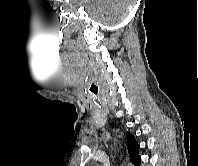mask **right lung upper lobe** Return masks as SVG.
Wrapping results in <instances>:
<instances>
[{
	"label": "right lung upper lobe",
	"instance_id": "right-lung-upper-lobe-1",
	"mask_svg": "<svg viewBox=\"0 0 198 166\" xmlns=\"http://www.w3.org/2000/svg\"><path fill=\"white\" fill-rule=\"evenodd\" d=\"M139 148L140 146L136 142L134 135L128 132L127 149L130 159L133 162L134 166H140L141 163V158L139 156Z\"/></svg>",
	"mask_w": 198,
	"mask_h": 166
}]
</instances>
